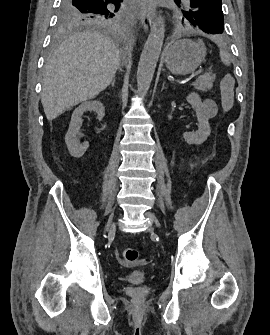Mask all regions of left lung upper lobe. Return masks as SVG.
Segmentation results:
<instances>
[{
  "instance_id": "1",
  "label": "left lung upper lobe",
  "mask_w": 270,
  "mask_h": 335,
  "mask_svg": "<svg viewBox=\"0 0 270 335\" xmlns=\"http://www.w3.org/2000/svg\"><path fill=\"white\" fill-rule=\"evenodd\" d=\"M180 5V0H175ZM221 0H187L183 4V19L193 27L210 34H221L224 18Z\"/></svg>"
}]
</instances>
